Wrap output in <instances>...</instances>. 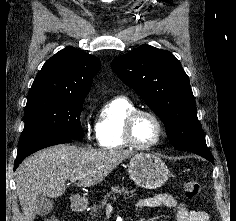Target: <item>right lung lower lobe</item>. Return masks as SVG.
<instances>
[{
  "label": "right lung lower lobe",
  "mask_w": 236,
  "mask_h": 221,
  "mask_svg": "<svg viewBox=\"0 0 236 221\" xmlns=\"http://www.w3.org/2000/svg\"><path fill=\"white\" fill-rule=\"evenodd\" d=\"M69 142H71V139L68 138H48V139L33 140L18 146L17 157L14 164V170H16L18 165L30 154L45 147Z\"/></svg>",
  "instance_id": "98d812e1"
}]
</instances>
